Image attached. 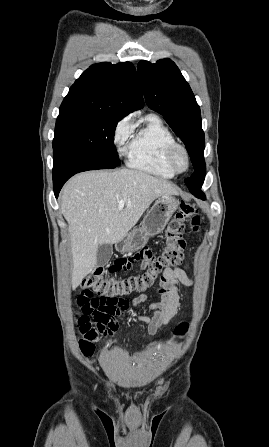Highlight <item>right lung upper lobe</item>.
Wrapping results in <instances>:
<instances>
[{"instance_id":"cb5924a9","label":"right lung upper lobe","mask_w":269,"mask_h":447,"mask_svg":"<svg viewBox=\"0 0 269 447\" xmlns=\"http://www.w3.org/2000/svg\"><path fill=\"white\" fill-rule=\"evenodd\" d=\"M144 106L134 66L109 62L89 67L71 86L59 115L110 116L122 119Z\"/></svg>"}]
</instances>
